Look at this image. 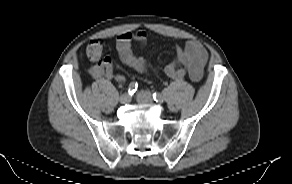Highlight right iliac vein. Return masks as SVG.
<instances>
[{
  "instance_id": "right-iliac-vein-1",
  "label": "right iliac vein",
  "mask_w": 292,
  "mask_h": 184,
  "mask_svg": "<svg viewBox=\"0 0 292 184\" xmlns=\"http://www.w3.org/2000/svg\"><path fill=\"white\" fill-rule=\"evenodd\" d=\"M131 100V97L129 94L125 93L123 95L120 96V99H119V102L121 104H126V103H129Z\"/></svg>"
}]
</instances>
